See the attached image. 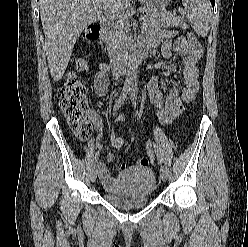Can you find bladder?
Segmentation results:
<instances>
[{"mask_svg":"<svg viewBox=\"0 0 248 247\" xmlns=\"http://www.w3.org/2000/svg\"><path fill=\"white\" fill-rule=\"evenodd\" d=\"M119 187L115 192H104L107 202L121 207H140L149 203L157 188L154 172L145 167H131L119 178Z\"/></svg>","mask_w":248,"mask_h":247,"instance_id":"obj_1","label":"bladder"}]
</instances>
